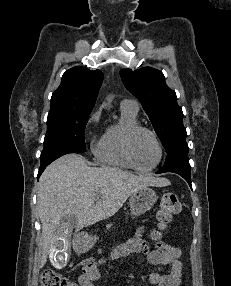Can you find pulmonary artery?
<instances>
[{
	"label": "pulmonary artery",
	"instance_id": "e3ab8cb5",
	"mask_svg": "<svg viewBox=\"0 0 231 286\" xmlns=\"http://www.w3.org/2000/svg\"><path fill=\"white\" fill-rule=\"evenodd\" d=\"M121 108H126L137 112L139 109V103L134 99H124L121 101Z\"/></svg>",
	"mask_w": 231,
	"mask_h": 286
}]
</instances>
